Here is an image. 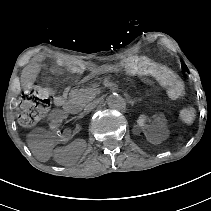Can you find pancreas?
Wrapping results in <instances>:
<instances>
[{
	"label": "pancreas",
	"instance_id": "cf45deb5",
	"mask_svg": "<svg viewBox=\"0 0 211 211\" xmlns=\"http://www.w3.org/2000/svg\"><path fill=\"white\" fill-rule=\"evenodd\" d=\"M101 89L97 85H92L88 88L74 89L70 92L68 106L72 112H77L83 105L89 103L94 98L99 97Z\"/></svg>",
	"mask_w": 211,
	"mask_h": 211
}]
</instances>
